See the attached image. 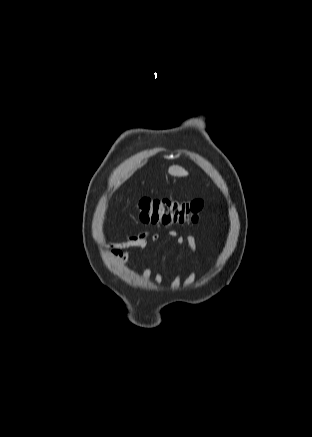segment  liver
<instances>
[{
    "label": "liver",
    "mask_w": 312,
    "mask_h": 437,
    "mask_svg": "<svg viewBox=\"0 0 312 437\" xmlns=\"http://www.w3.org/2000/svg\"><path fill=\"white\" fill-rule=\"evenodd\" d=\"M168 172H169V174L174 175V176H187L188 175V172L179 166H171L168 169Z\"/></svg>",
    "instance_id": "6515ba94"
}]
</instances>
